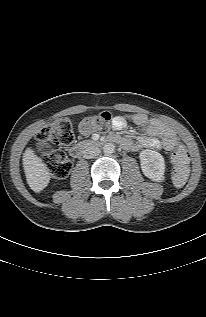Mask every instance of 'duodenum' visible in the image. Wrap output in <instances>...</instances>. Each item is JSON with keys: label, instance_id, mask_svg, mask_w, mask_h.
<instances>
[{"label": "duodenum", "instance_id": "410a0bca", "mask_svg": "<svg viewBox=\"0 0 206 317\" xmlns=\"http://www.w3.org/2000/svg\"><path fill=\"white\" fill-rule=\"evenodd\" d=\"M104 141L113 142V143H122V138L119 136L111 135L108 136ZM102 141L100 140H91L89 142H84L78 145L73 146L70 149V154L73 158H80L88 149H91L95 146H98Z\"/></svg>", "mask_w": 206, "mask_h": 317}]
</instances>
